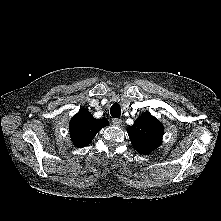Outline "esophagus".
I'll return each instance as SVG.
<instances>
[{"mask_svg": "<svg viewBox=\"0 0 221 221\" xmlns=\"http://www.w3.org/2000/svg\"><path fill=\"white\" fill-rule=\"evenodd\" d=\"M112 123L116 126H119L122 123V120L118 118H113Z\"/></svg>", "mask_w": 221, "mask_h": 221, "instance_id": "obj_1", "label": "esophagus"}]
</instances>
